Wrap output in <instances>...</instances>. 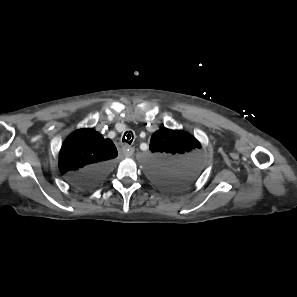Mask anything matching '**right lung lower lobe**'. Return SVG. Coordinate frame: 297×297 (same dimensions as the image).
I'll use <instances>...</instances> for the list:
<instances>
[{
    "mask_svg": "<svg viewBox=\"0 0 297 297\" xmlns=\"http://www.w3.org/2000/svg\"><path fill=\"white\" fill-rule=\"evenodd\" d=\"M111 168L110 163H100L89 166L71 176L69 181L81 189H89L100 184L108 175Z\"/></svg>",
    "mask_w": 297,
    "mask_h": 297,
    "instance_id": "1",
    "label": "right lung lower lobe"
}]
</instances>
